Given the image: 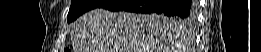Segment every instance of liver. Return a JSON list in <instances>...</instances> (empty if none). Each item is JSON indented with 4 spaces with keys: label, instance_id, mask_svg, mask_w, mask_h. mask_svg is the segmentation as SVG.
<instances>
[{
    "label": "liver",
    "instance_id": "1",
    "mask_svg": "<svg viewBox=\"0 0 261 52\" xmlns=\"http://www.w3.org/2000/svg\"><path fill=\"white\" fill-rule=\"evenodd\" d=\"M162 17L91 10L73 25L76 48L78 52H179L184 26L165 22Z\"/></svg>",
    "mask_w": 261,
    "mask_h": 52
}]
</instances>
